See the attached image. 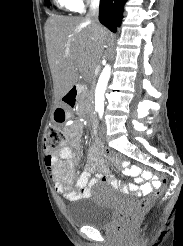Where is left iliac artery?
I'll use <instances>...</instances> for the list:
<instances>
[{"mask_svg":"<svg viewBox=\"0 0 183 246\" xmlns=\"http://www.w3.org/2000/svg\"><path fill=\"white\" fill-rule=\"evenodd\" d=\"M102 115H103V110H100V111H99V116H100V118H102Z\"/></svg>","mask_w":183,"mask_h":246,"instance_id":"1","label":"left iliac artery"}]
</instances>
